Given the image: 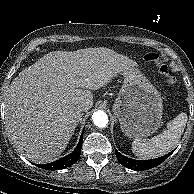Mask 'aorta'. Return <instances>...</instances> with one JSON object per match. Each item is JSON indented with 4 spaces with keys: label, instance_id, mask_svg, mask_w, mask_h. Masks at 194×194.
I'll return each instance as SVG.
<instances>
[{
    "label": "aorta",
    "instance_id": "obj_1",
    "mask_svg": "<svg viewBox=\"0 0 194 194\" xmlns=\"http://www.w3.org/2000/svg\"><path fill=\"white\" fill-rule=\"evenodd\" d=\"M93 123L99 127L104 128L108 124V116L104 111H96L92 115Z\"/></svg>",
    "mask_w": 194,
    "mask_h": 194
}]
</instances>
